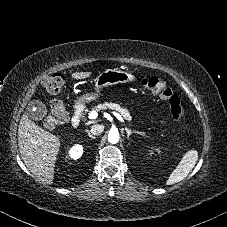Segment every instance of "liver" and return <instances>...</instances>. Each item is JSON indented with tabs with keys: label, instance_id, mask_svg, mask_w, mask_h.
Masks as SVG:
<instances>
[{
	"label": "liver",
	"instance_id": "6515ba94",
	"mask_svg": "<svg viewBox=\"0 0 227 227\" xmlns=\"http://www.w3.org/2000/svg\"><path fill=\"white\" fill-rule=\"evenodd\" d=\"M91 72H75L73 79L80 80L91 76ZM18 146L23 162L32 174L41 182L52 184L54 167L61 147L60 138L23 114L18 126Z\"/></svg>",
	"mask_w": 227,
	"mask_h": 227
}]
</instances>
